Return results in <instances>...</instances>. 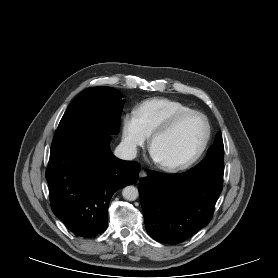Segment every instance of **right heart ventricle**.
Segmentation results:
<instances>
[{"label": "right heart ventricle", "mask_w": 278, "mask_h": 278, "mask_svg": "<svg viewBox=\"0 0 278 278\" xmlns=\"http://www.w3.org/2000/svg\"><path fill=\"white\" fill-rule=\"evenodd\" d=\"M191 109L188 105L170 98L156 97L142 101L136 108L143 127L150 135L159 126L179 112Z\"/></svg>", "instance_id": "right-heart-ventricle-1"}]
</instances>
